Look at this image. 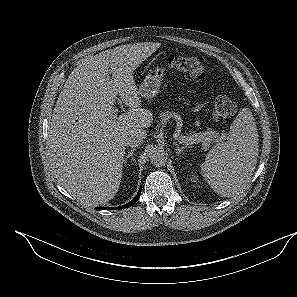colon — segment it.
<instances>
[{
    "label": "colon",
    "mask_w": 297,
    "mask_h": 297,
    "mask_svg": "<svg viewBox=\"0 0 297 297\" xmlns=\"http://www.w3.org/2000/svg\"><path fill=\"white\" fill-rule=\"evenodd\" d=\"M167 65L185 76L186 78L202 81L205 78V66L195 57H185L171 55L166 59ZM235 103L227 96H219L214 103L213 119L215 121H224L235 112Z\"/></svg>",
    "instance_id": "obj_1"
}]
</instances>
